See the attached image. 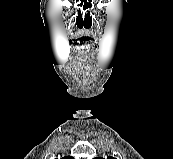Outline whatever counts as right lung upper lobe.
Here are the masks:
<instances>
[{"mask_svg": "<svg viewBox=\"0 0 173 159\" xmlns=\"http://www.w3.org/2000/svg\"><path fill=\"white\" fill-rule=\"evenodd\" d=\"M62 159H74V158L71 156H66V157H63Z\"/></svg>", "mask_w": 173, "mask_h": 159, "instance_id": "1", "label": "right lung upper lobe"}]
</instances>
